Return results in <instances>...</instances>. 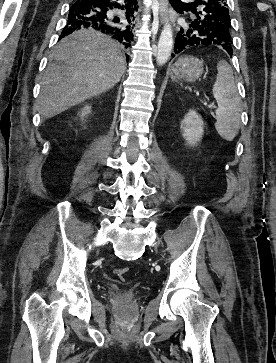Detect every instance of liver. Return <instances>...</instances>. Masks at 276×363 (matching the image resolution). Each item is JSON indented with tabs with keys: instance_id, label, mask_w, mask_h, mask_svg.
Segmentation results:
<instances>
[{
	"instance_id": "liver-1",
	"label": "liver",
	"mask_w": 276,
	"mask_h": 363,
	"mask_svg": "<svg viewBox=\"0 0 276 363\" xmlns=\"http://www.w3.org/2000/svg\"><path fill=\"white\" fill-rule=\"evenodd\" d=\"M126 70L118 43L93 29L63 38L50 56L39 95L42 118L63 111L114 87Z\"/></svg>"
}]
</instances>
